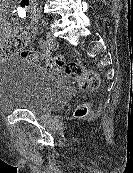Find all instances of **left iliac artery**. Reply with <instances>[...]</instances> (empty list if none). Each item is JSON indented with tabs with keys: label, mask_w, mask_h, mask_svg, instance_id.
<instances>
[{
	"label": "left iliac artery",
	"mask_w": 133,
	"mask_h": 173,
	"mask_svg": "<svg viewBox=\"0 0 133 173\" xmlns=\"http://www.w3.org/2000/svg\"><path fill=\"white\" fill-rule=\"evenodd\" d=\"M39 44H40V45H44V44H45V41H44L43 39H40V40H39Z\"/></svg>",
	"instance_id": "1"
}]
</instances>
